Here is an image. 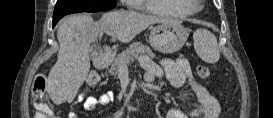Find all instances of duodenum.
<instances>
[{"label":"duodenum","mask_w":273,"mask_h":118,"mask_svg":"<svg viewBox=\"0 0 273 118\" xmlns=\"http://www.w3.org/2000/svg\"><path fill=\"white\" fill-rule=\"evenodd\" d=\"M109 59L107 55H102L96 58L95 65L97 68L102 69L108 65Z\"/></svg>","instance_id":"1"}]
</instances>
